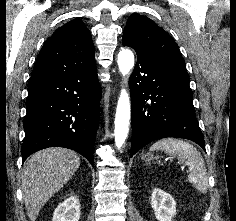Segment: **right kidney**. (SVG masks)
I'll use <instances>...</instances> for the list:
<instances>
[{"mask_svg":"<svg viewBox=\"0 0 236 221\" xmlns=\"http://www.w3.org/2000/svg\"><path fill=\"white\" fill-rule=\"evenodd\" d=\"M80 202L71 196L60 203L54 211L52 221H79Z\"/></svg>","mask_w":236,"mask_h":221,"instance_id":"ca27d5eb","label":"right kidney"}]
</instances>
